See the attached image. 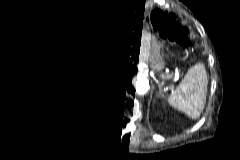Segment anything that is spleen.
I'll return each instance as SVG.
<instances>
[{
	"label": "spleen",
	"instance_id": "1",
	"mask_svg": "<svg viewBox=\"0 0 240 160\" xmlns=\"http://www.w3.org/2000/svg\"><path fill=\"white\" fill-rule=\"evenodd\" d=\"M206 79L203 67L192 68L169 97V103L191 117L199 116L206 98Z\"/></svg>",
	"mask_w": 240,
	"mask_h": 160
}]
</instances>
